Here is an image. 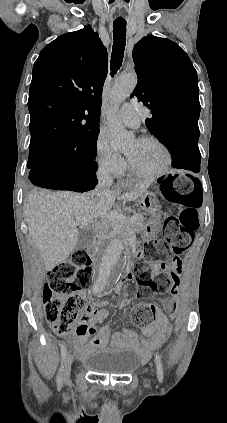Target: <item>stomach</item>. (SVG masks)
<instances>
[{"mask_svg": "<svg viewBox=\"0 0 227 423\" xmlns=\"http://www.w3.org/2000/svg\"><path fill=\"white\" fill-rule=\"evenodd\" d=\"M129 182H121L120 188H127ZM137 206L140 210L150 211L154 208V196L152 192H145L143 196H140V200H137Z\"/></svg>", "mask_w": 227, "mask_h": 423, "instance_id": "stomach-1", "label": "stomach"}]
</instances>
